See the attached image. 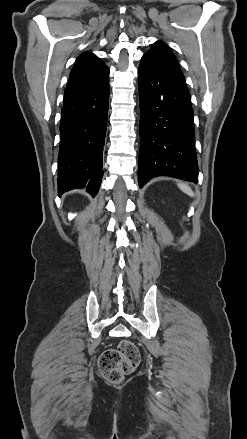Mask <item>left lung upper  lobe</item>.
I'll return each instance as SVG.
<instances>
[{"label": "left lung upper lobe", "instance_id": "5c2ea615", "mask_svg": "<svg viewBox=\"0 0 247 439\" xmlns=\"http://www.w3.org/2000/svg\"><path fill=\"white\" fill-rule=\"evenodd\" d=\"M141 60L146 61L161 72L186 85L184 75L174 54L162 41L155 42Z\"/></svg>", "mask_w": 247, "mask_h": 439}]
</instances>
